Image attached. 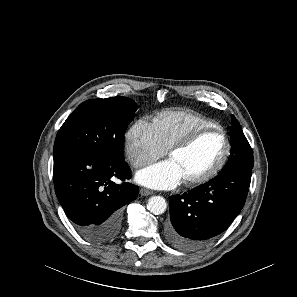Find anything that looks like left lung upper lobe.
I'll list each match as a JSON object with an SVG mask.
<instances>
[{
  "label": "left lung upper lobe",
  "mask_w": 297,
  "mask_h": 297,
  "mask_svg": "<svg viewBox=\"0 0 297 297\" xmlns=\"http://www.w3.org/2000/svg\"><path fill=\"white\" fill-rule=\"evenodd\" d=\"M231 120V152L226 165L221 172L251 171L254 165L253 151L237 119L232 115Z\"/></svg>",
  "instance_id": "1"
}]
</instances>
